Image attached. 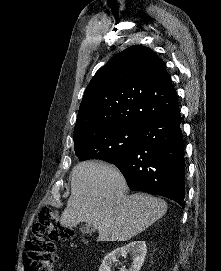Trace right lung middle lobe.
<instances>
[{
	"instance_id": "1",
	"label": "right lung middle lobe",
	"mask_w": 221,
	"mask_h": 271,
	"mask_svg": "<svg viewBox=\"0 0 221 271\" xmlns=\"http://www.w3.org/2000/svg\"><path fill=\"white\" fill-rule=\"evenodd\" d=\"M142 127L117 125L74 139L75 153L80 160L100 159L113 163L138 141Z\"/></svg>"
}]
</instances>
